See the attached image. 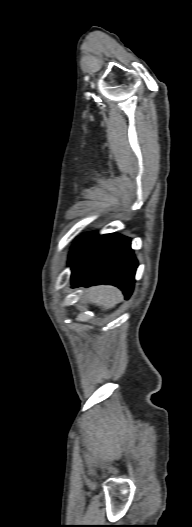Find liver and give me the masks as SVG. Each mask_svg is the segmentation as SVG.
Listing matches in <instances>:
<instances>
[{"label": "liver", "mask_w": 192, "mask_h": 527, "mask_svg": "<svg viewBox=\"0 0 192 527\" xmlns=\"http://www.w3.org/2000/svg\"><path fill=\"white\" fill-rule=\"evenodd\" d=\"M89 301L96 306L106 309L114 307L120 297L121 292L113 286H95L87 290Z\"/></svg>", "instance_id": "obj_1"}]
</instances>
